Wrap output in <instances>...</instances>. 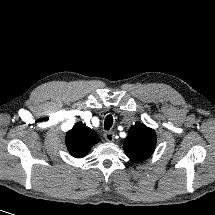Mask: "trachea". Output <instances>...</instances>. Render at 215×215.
Wrapping results in <instances>:
<instances>
[{"instance_id":"obj_1","label":"trachea","mask_w":215,"mask_h":215,"mask_svg":"<svg viewBox=\"0 0 215 215\" xmlns=\"http://www.w3.org/2000/svg\"><path fill=\"white\" fill-rule=\"evenodd\" d=\"M113 124V117L112 115H107L104 122V128L105 130H109L112 127Z\"/></svg>"}]
</instances>
